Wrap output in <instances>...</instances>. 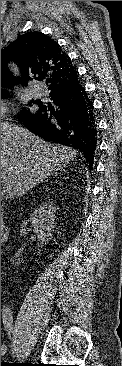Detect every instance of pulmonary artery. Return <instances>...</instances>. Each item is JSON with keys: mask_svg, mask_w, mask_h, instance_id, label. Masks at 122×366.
<instances>
[{"mask_svg": "<svg viewBox=\"0 0 122 366\" xmlns=\"http://www.w3.org/2000/svg\"><path fill=\"white\" fill-rule=\"evenodd\" d=\"M41 90L39 88H35L32 90V94H34L35 96H41Z\"/></svg>", "mask_w": 122, "mask_h": 366, "instance_id": "e3ab8cb5", "label": "pulmonary artery"}]
</instances>
